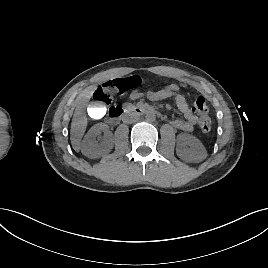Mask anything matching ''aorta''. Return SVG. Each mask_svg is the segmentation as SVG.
I'll return each instance as SVG.
<instances>
[{
  "label": "aorta",
  "instance_id": "aorta-1",
  "mask_svg": "<svg viewBox=\"0 0 268 268\" xmlns=\"http://www.w3.org/2000/svg\"><path fill=\"white\" fill-rule=\"evenodd\" d=\"M145 119L147 122H154L156 119V115L153 112H147L145 115Z\"/></svg>",
  "mask_w": 268,
  "mask_h": 268
}]
</instances>
